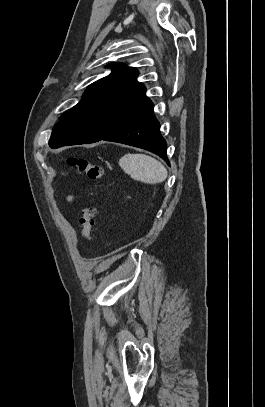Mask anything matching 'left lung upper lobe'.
Segmentation results:
<instances>
[{
    "label": "left lung upper lobe",
    "mask_w": 265,
    "mask_h": 407,
    "mask_svg": "<svg viewBox=\"0 0 265 407\" xmlns=\"http://www.w3.org/2000/svg\"><path fill=\"white\" fill-rule=\"evenodd\" d=\"M116 67L88 86L83 99L60 116L49 140L51 148L100 141L153 108L144 85L136 80L138 71Z\"/></svg>",
    "instance_id": "5c2ea615"
}]
</instances>
